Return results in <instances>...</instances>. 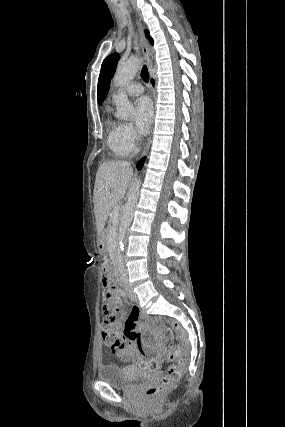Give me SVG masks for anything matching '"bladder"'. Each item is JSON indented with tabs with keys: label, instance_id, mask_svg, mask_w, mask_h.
<instances>
[{
	"label": "bladder",
	"instance_id": "bladder-1",
	"mask_svg": "<svg viewBox=\"0 0 285 427\" xmlns=\"http://www.w3.org/2000/svg\"><path fill=\"white\" fill-rule=\"evenodd\" d=\"M97 376L102 382L124 389L131 388L133 384L142 379L155 377L154 374L147 373L136 367H120L115 364L101 366L98 369Z\"/></svg>",
	"mask_w": 285,
	"mask_h": 427
}]
</instances>
